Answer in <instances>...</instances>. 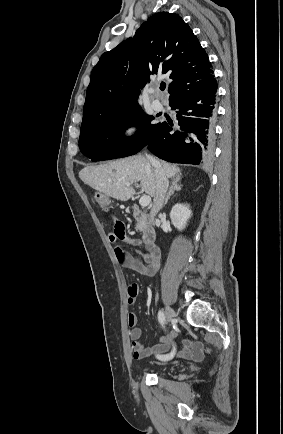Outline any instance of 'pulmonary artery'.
Segmentation results:
<instances>
[{"label": "pulmonary artery", "instance_id": "e3ab8cb5", "mask_svg": "<svg viewBox=\"0 0 283 434\" xmlns=\"http://www.w3.org/2000/svg\"><path fill=\"white\" fill-rule=\"evenodd\" d=\"M155 91H157V89H155ZM152 107L157 112H160L164 109V105H163L161 99L158 97L152 101Z\"/></svg>", "mask_w": 283, "mask_h": 434}]
</instances>
